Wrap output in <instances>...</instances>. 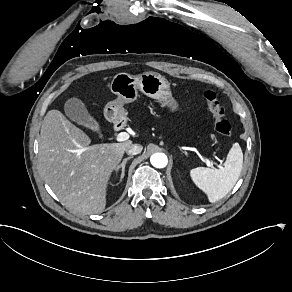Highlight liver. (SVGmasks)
I'll return each instance as SVG.
<instances>
[{"label":"liver","instance_id":"liver-1","mask_svg":"<svg viewBox=\"0 0 292 292\" xmlns=\"http://www.w3.org/2000/svg\"><path fill=\"white\" fill-rule=\"evenodd\" d=\"M90 138L58 110H50L41 125L39 163L46 183L67 208L101 213L106 187L131 140L89 146Z\"/></svg>","mask_w":292,"mask_h":292}]
</instances>
